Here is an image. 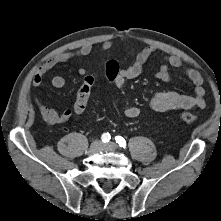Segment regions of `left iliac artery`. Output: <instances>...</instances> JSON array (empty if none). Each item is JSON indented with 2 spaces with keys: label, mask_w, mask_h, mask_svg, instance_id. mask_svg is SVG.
Segmentation results:
<instances>
[{
  "label": "left iliac artery",
  "mask_w": 221,
  "mask_h": 221,
  "mask_svg": "<svg viewBox=\"0 0 221 221\" xmlns=\"http://www.w3.org/2000/svg\"><path fill=\"white\" fill-rule=\"evenodd\" d=\"M115 140H116V143H118L120 147H123V148L126 147V141H125V139L123 137L116 136Z\"/></svg>",
  "instance_id": "obj_1"
}]
</instances>
